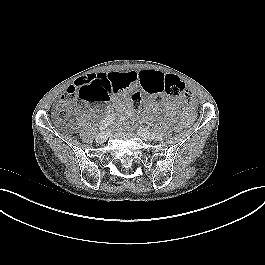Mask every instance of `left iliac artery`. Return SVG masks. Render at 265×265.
<instances>
[{"label":"left iliac artery","instance_id":"1","mask_svg":"<svg viewBox=\"0 0 265 265\" xmlns=\"http://www.w3.org/2000/svg\"><path fill=\"white\" fill-rule=\"evenodd\" d=\"M152 137H154V134L152 135ZM156 138H157V140H161L162 139L161 136H157Z\"/></svg>","mask_w":265,"mask_h":265}]
</instances>
